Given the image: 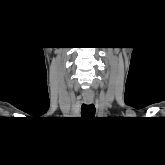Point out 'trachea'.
Returning a JSON list of instances; mask_svg holds the SVG:
<instances>
[{
  "instance_id": "obj_1",
  "label": "trachea",
  "mask_w": 165,
  "mask_h": 165,
  "mask_svg": "<svg viewBox=\"0 0 165 165\" xmlns=\"http://www.w3.org/2000/svg\"><path fill=\"white\" fill-rule=\"evenodd\" d=\"M81 115L83 117H93L95 115V106L94 104H82Z\"/></svg>"
}]
</instances>
